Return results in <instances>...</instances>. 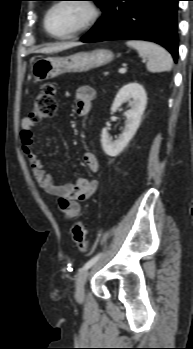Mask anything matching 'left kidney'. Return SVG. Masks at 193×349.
Instances as JSON below:
<instances>
[{
    "label": "left kidney",
    "instance_id": "1",
    "mask_svg": "<svg viewBox=\"0 0 193 349\" xmlns=\"http://www.w3.org/2000/svg\"><path fill=\"white\" fill-rule=\"evenodd\" d=\"M124 102H128L131 108L126 113L125 127L122 134L117 140L112 141L106 128H103L101 133L102 148L111 157H115L122 152L139 127L147 104V96L143 86L136 81L124 85L114 99L111 112H116Z\"/></svg>",
    "mask_w": 193,
    "mask_h": 349
}]
</instances>
